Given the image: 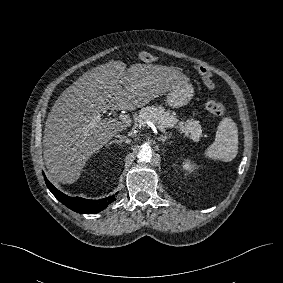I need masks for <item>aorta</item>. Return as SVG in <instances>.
<instances>
[{
	"label": "aorta",
	"instance_id": "1",
	"mask_svg": "<svg viewBox=\"0 0 283 283\" xmlns=\"http://www.w3.org/2000/svg\"><path fill=\"white\" fill-rule=\"evenodd\" d=\"M138 158L141 162H150L152 158V150L150 147H142L138 152Z\"/></svg>",
	"mask_w": 283,
	"mask_h": 283
}]
</instances>
